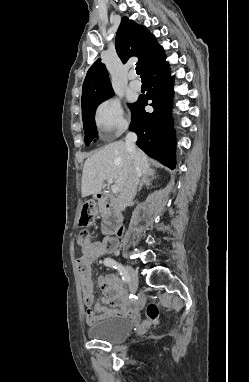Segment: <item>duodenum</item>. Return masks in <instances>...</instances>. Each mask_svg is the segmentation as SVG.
Listing matches in <instances>:
<instances>
[{"label": "duodenum", "mask_w": 249, "mask_h": 382, "mask_svg": "<svg viewBox=\"0 0 249 382\" xmlns=\"http://www.w3.org/2000/svg\"><path fill=\"white\" fill-rule=\"evenodd\" d=\"M95 198L101 203L107 218L104 224V231L108 234H119L121 227V213L116 209V200L113 196L102 191L95 193Z\"/></svg>", "instance_id": "410a0bca"}]
</instances>
